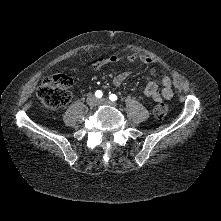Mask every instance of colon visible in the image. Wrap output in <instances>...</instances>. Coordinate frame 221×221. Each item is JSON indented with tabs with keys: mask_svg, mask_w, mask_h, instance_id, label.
Listing matches in <instances>:
<instances>
[{
	"mask_svg": "<svg viewBox=\"0 0 221 221\" xmlns=\"http://www.w3.org/2000/svg\"><path fill=\"white\" fill-rule=\"evenodd\" d=\"M73 73L56 74L43 79L37 89V96L41 103L48 109L56 110L67 105L71 100L69 88L73 84ZM154 115L158 118L168 113V106L159 103L154 108Z\"/></svg>",
	"mask_w": 221,
	"mask_h": 221,
	"instance_id": "colon-1",
	"label": "colon"
}]
</instances>
